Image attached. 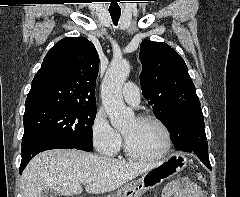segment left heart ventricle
Segmentation results:
<instances>
[{
	"instance_id": "obj_1",
	"label": "left heart ventricle",
	"mask_w": 240,
	"mask_h": 197,
	"mask_svg": "<svg viewBox=\"0 0 240 197\" xmlns=\"http://www.w3.org/2000/svg\"><path fill=\"white\" fill-rule=\"evenodd\" d=\"M130 146L143 155H155L165 147V135L161 127L152 121L131 120L123 129Z\"/></svg>"
}]
</instances>
